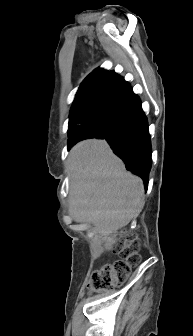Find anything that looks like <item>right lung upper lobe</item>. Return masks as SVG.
<instances>
[{
  "mask_svg": "<svg viewBox=\"0 0 193 336\" xmlns=\"http://www.w3.org/2000/svg\"><path fill=\"white\" fill-rule=\"evenodd\" d=\"M130 85L114 71L97 68L82 82L70 112L69 129L80 121L94 119L107 109H114ZM68 144L85 139L69 132Z\"/></svg>",
  "mask_w": 193,
  "mask_h": 336,
  "instance_id": "obj_1",
  "label": "right lung upper lobe"
}]
</instances>
